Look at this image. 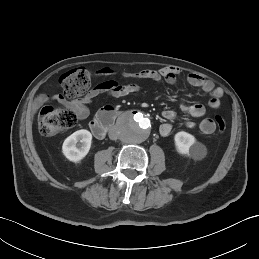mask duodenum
<instances>
[{
    "instance_id": "obj_1",
    "label": "duodenum",
    "mask_w": 259,
    "mask_h": 259,
    "mask_svg": "<svg viewBox=\"0 0 259 259\" xmlns=\"http://www.w3.org/2000/svg\"><path fill=\"white\" fill-rule=\"evenodd\" d=\"M118 115L119 112L113 107H106L99 111L90 123L92 134L98 139L103 138Z\"/></svg>"
}]
</instances>
